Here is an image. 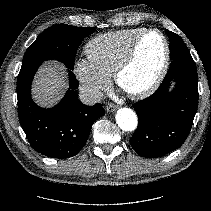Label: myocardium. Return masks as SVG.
Instances as JSON below:
<instances>
[{"label": "myocardium", "mask_w": 211, "mask_h": 211, "mask_svg": "<svg viewBox=\"0 0 211 211\" xmlns=\"http://www.w3.org/2000/svg\"><path fill=\"white\" fill-rule=\"evenodd\" d=\"M149 33H157L163 41V46H164L163 62L156 77L148 86L135 92L125 91L133 99H145L149 97L150 95H152L162 84L170 65V55H171L170 45L165 34L157 28H145L136 36L130 48L128 49L127 53L122 58V60L118 63L117 67L115 68V71L113 73V78H114L115 83L120 88H122L120 85L121 77L134 63L142 40Z\"/></svg>", "instance_id": "1"}]
</instances>
